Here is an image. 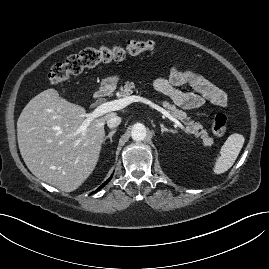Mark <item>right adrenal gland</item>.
Here are the masks:
<instances>
[{"mask_svg":"<svg viewBox=\"0 0 269 269\" xmlns=\"http://www.w3.org/2000/svg\"><path fill=\"white\" fill-rule=\"evenodd\" d=\"M115 132H116V129L111 130V131L108 133V135L103 139V143H105V141H106L107 139H110V142L112 143V142H113V140H112V136L115 134Z\"/></svg>","mask_w":269,"mask_h":269,"instance_id":"1","label":"right adrenal gland"}]
</instances>
